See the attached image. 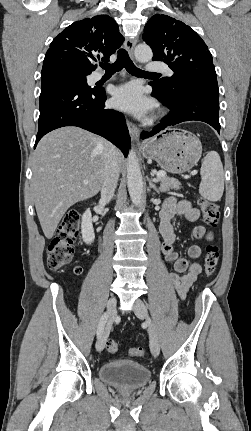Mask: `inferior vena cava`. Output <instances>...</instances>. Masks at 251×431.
<instances>
[{"mask_svg":"<svg viewBox=\"0 0 251 431\" xmlns=\"http://www.w3.org/2000/svg\"><path fill=\"white\" fill-rule=\"evenodd\" d=\"M120 168L116 159V148L111 144L105 159L101 202L108 203L114 196L119 178Z\"/></svg>","mask_w":251,"mask_h":431,"instance_id":"1","label":"inferior vena cava"}]
</instances>
